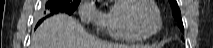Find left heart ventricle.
<instances>
[{
	"instance_id": "left-heart-ventricle-1",
	"label": "left heart ventricle",
	"mask_w": 213,
	"mask_h": 48,
	"mask_svg": "<svg viewBox=\"0 0 213 48\" xmlns=\"http://www.w3.org/2000/svg\"><path fill=\"white\" fill-rule=\"evenodd\" d=\"M131 17L142 33H152L158 26L155 10L146 3H137L131 11Z\"/></svg>"
}]
</instances>
